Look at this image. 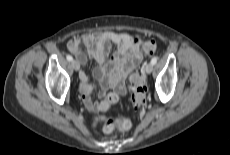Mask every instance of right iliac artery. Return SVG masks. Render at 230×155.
Listing matches in <instances>:
<instances>
[{"instance_id": "82829eb1", "label": "right iliac artery", "mask_w": 230, "mask_h": 155, "mask_svg": "<svg viewBox=\"0 0 230 155\" xmlns=\"http://www.w3.org/2000/svg\"><path fill=\"white\" fill-rule=\"evenodd\" d=\"M66 58H67V60H68V61H72V60H73V57H72V56H70V55H67V57H66Z\"/></svg>"}]
</instances>
